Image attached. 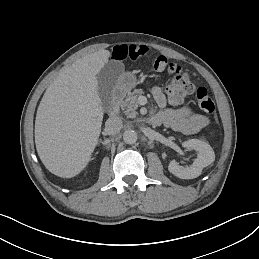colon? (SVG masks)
Instances as JSON below:
<instances>
[{
  "instance_id": "obj_1",
  "label": "colon",
  "mask_w": 259,
  "mask_h": 259,
  "mask_svg": "<svg viewBox=\"0 0 259 259\" xmlns=\"http://www.w3.org/2000/svg\"><path fill=\"white\" fill-rule=\"evenodd\" d=\"M152 68L157 72H168L173 76L167 86L172 102L178 103L184 97L195 93V99L199 107L207 113L214 112L215 105L209 91L203 86L195 87L188 73L180 66L170 62L166 57L160 56L154 60Z\"/></svg>"
}]
</instances>
